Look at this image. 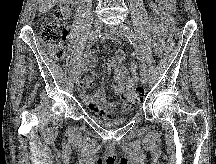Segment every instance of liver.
<instances>
[{
	"label": "liver",
	"instance_id": "liver-1",
	"mask_svg": "<svg viewBox=\"0 0 216 164\" xmlns=\"http://www.w3.org/2000/svg\"><path fill=\"white\" fill-rule=\"evenodd\" d=\"M58 2L59 0H39V8H38L39 13L43 14L47 12L52 7H54Z\"/></svg>",
	"mask_w": 216,
	"mask_h": 164
}]
</instances>
